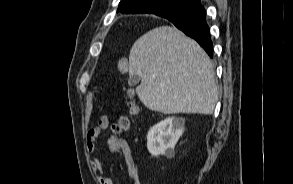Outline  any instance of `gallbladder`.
Wrapping results in <instances>:
<instances>
[{
	"mask_svg": "<svg viewBox=\"0 0 293 184\" xmlns=\"http://www.w3.org/2000/svg\"><path fill=\"white\" fill-rule=\"evenodd\" d=\"M139 82H140V77L138 75L135 74V75L130 76V78H129V84L131 86H135Z\"/></svg>",
	"mask_w": 293,
	"mask_h": 184,
	"instance_id": "obj_1",
	"label": "gallbladder"
}]
</instances>
